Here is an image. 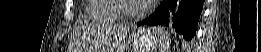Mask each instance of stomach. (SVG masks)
<instances>
[{
  "instance_id": "1",
  "label": "stomach",
  "mask_w": 261,
  "mask_h": 52,
  "mask_svg": "<svg viewBox=\"0 0 261 52\" xmlns=\"http://www.w3.org/2000/svg\"><path fill=\"white\" fill-rule=\"evenodd\" d=\"M160 30L142 28L131 33L123 40L126 52H153L160 42Z\"/></svg>"
}]
</instances>
